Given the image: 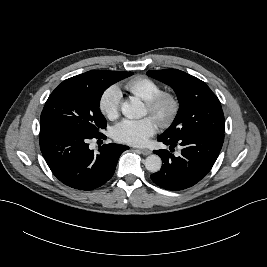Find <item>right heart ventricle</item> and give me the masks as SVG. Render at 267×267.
Masks as SVG:
<instances>
[{
  "mask_svg": "<svg viewBox=\"0 0 267 267\" xmlns=\"http://www.w3.org/2000/svg\"><path fill=\"white\" fill-rule=\"evenodd\" d=\"M124 88L144 101L150 100L161 91V85L158 82L145 76H137L128 80Z\"/></svg>",
  "mask_w": 267,
  "mask_h": 267,
  "instance_id": "right-heart-ventricle-1",
  "label": "right heart ventricle"
}]
</instances>
